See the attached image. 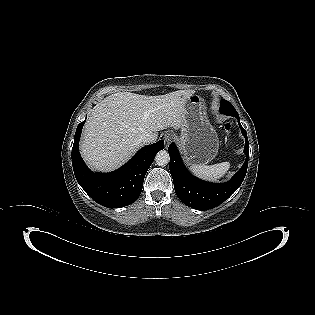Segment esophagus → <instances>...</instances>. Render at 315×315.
Wrapping results in <instances>:
<instances>
[{"instance_id":"1","label":"esophagus","mask_w":315,"mask_h":315,"mask_svg":"<svg viewBox=\"0 0 315 315\" xmlns=\"http://www.w3.org/2000/svg\"><path fill=\"white\" fill-rule=\"evenodd\" d=\"M164 142H165V148H168L170 143L173 141V135L170 133H166L163 137Z\"/></svg>"}]
</instances>
